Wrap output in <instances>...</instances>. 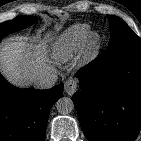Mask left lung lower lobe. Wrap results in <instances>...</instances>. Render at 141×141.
Instances as JSON below:
<instances>
[{
    "instance_id": "0a47b994",
    "label": "left lung lower lobe",
    "mask_w": 141,
    "mask_h": 141,
    "mask_svg": "<svg viewBox=\"0 0 141 141\" xmlns=\"http://www.w3.org/2000/svg\"><path fill=\"white\" fill-rule=\"evenodd\" d=\"M73 102L89 141H133L141 129V49L105 51L80 69Z\"/></svg>"
}]
</instances>
